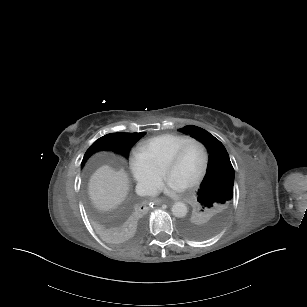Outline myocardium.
I'll return each mask as SVG.
<instances>
[{"instance_id":"obj_1","label":"myocardium","mask_w":307,"mask_h":307,"mask_svg":"<svg viewBox=\"0 0 307 307\" xmlns=\"http://www.w3.org/2000/svg\"><path fill=\"white\" fill-rule=\"evenodd\" d=\"M192 143H199L202 146L204 152V164L199 174L187 185V187L189 188L198 185L204 179V177L208 172L210 157H209L208 147L205 144V142L198 138H191L185 141L173 154L168 156L163 162L164 171L166 173L168 166L171 165L172 163L179 161L182 158L188 146Z\"/></svg>"}]
</instances>
